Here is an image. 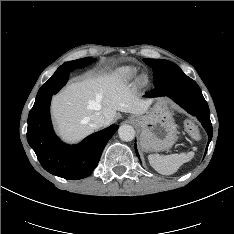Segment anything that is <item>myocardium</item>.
I'll return each mask as SVG.
<instances>
[{
  "mask_svg": "<svg viewBox=\"0 0 234 234\" xmlns=\"http://www.w3.org/2000/svg\"><path fill=\"white\" fill-rule=\"evenodd\" d=\"M139 82L144 85L147 82V78L145 75H141L139 78Z\"/></svg>",
  "mask_w": 234,
  "mask_h": 234,
  "instance_id": "obj_1",
  "label": "myocardium"
}]
</instances>
